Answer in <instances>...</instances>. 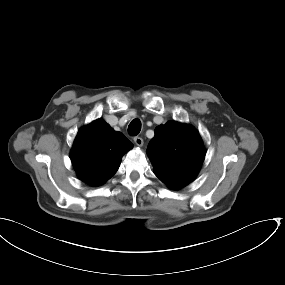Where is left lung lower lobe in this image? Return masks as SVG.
I'll list each match as a JSON object with an SVG mask.
<instances>
[{
	"instance_id": "1",
	"label": "left lung lower lobe",
	"mask_w": 285,
	"mask_h": 285,
	"mask_svg": "<svg viewBox=\"0 0 285 285\" xmlns=\"http://www.w3.org/2000/svg\"><path fill=\"white\" fill-rule=\"evenodd\" d=\"M166 185L171 189H179L185 186V184L182 183H168Z\"/></svg>"
}]
</instances>
